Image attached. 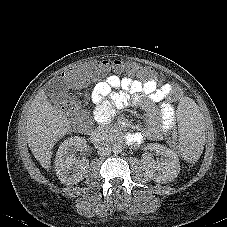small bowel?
<instances>
[{
	"label": "small bowel",
	"mask_w": 227,
	"mask_h": 227,
	"mask_svg": "<svg viewBox=\"0 0 227 227\" xmlns=\"http://www.w3.org/2000/svg\"><path fill=\"white\" fill-rule=\"evenodd\" d=\"M171 89L169 83L110 75L99 81L91 92L90 99L95 105L94 120L98 124H106L113 118L115 107L130 101L141 103L151 113L148 126L143 132L129 134L128 141L140 143L144 139H158L167 135L168 122L175 124L174 110L165 102Z\"/></svg>",
	"instance_id": "c3829d8e"
}]
</instances>
